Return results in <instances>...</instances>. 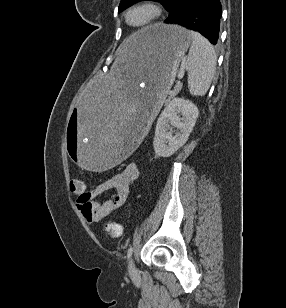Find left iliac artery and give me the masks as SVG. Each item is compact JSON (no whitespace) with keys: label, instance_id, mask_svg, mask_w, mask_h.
<instances>
[{"label":"left iliac artery","instance_id":"left-iliac-artery-1","mask_svg":"<svg viewBox=\"0 0 286 308\" xmlns=\"http://www.w3.org/2000/svg\"><path fill=\"white\" fill-rule=\"evenodd\" d=\"M132 253H133V247L130 246L128 251H127V259H129L131 257Z\"/></svg>","mask_w":286,"mask_h":308}]
</instances>
